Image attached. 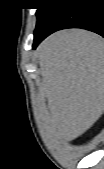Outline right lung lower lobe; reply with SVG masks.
<instances>
[{"instance_id": "1", "label": "right lung lower lobe", "mask_w": 104, "mask_h": 169, "mask_svg": "<svg viewBox=\"0 0 104 169\" xmlns=\"http://www.w3.org/2000/svg\"><path fill=\"white\" fill-rule=\"evenodd\" d=\"M82 28L104 37V0H62L45 25L34 32L33 49L51 33Z\"/></svg>"}]
</instances>
